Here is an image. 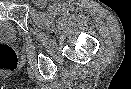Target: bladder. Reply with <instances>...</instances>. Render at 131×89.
Returning a JSON list of instances; mask_svg holds the SVG:
<instances>
[{
  "label": "bladder",
  "mask_w": 131,
  "mask_h": 89,
  "mask_svg": "<svg viewBox=\"0 0 131 89\" xmlns=\"http://www.w3.org/2000/svg\"><path fill=\"white\" fill-rule=\"evenodd\" d=\"M17 33L14 26L8 21H0V39L6 41H14Z\"/></svg>",
  "instance_id": "1"
}]
</instances>
